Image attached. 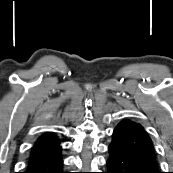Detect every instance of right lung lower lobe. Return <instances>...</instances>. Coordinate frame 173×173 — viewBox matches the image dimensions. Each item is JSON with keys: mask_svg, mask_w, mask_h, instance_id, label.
I'll use <instances>...</instances> for the list:
<instances>
[{"mask_svg": "<svg viewBox=\"0 0 173 173\" xmlns=\"http://www.w3.org/2000/svg\"><path fill=\"white\" fill-rule=\"evenodd\" d=\"M24 173H66L59 144L32 149Z\"/></svg>", "mask_w": 173, "mask_h": 173, "instance_id": "98d812e1", "label": "right lung lower lobe"}]
</instances>
